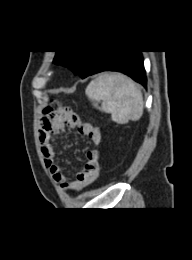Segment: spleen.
Wrapping results in <instances>:
<instances>
[{
  "instance_id": "1",
  "label": "spleen",
  "mask_w": 192,
  "mask_h": 260,
  "mask_svg": "<svg viewBox=\"0 0 192 260\" xmlns=\"http://www.w3.org/2000/svg\"><path fill=\"white\" fill-rule=\"evenodd\" d=\"M86 95L93 107L110 113L117 124L137 121L143 114V95L138 85L119 73H104L91 81ZM101 103V106H99Z\"/></svg>"
}]
</instances>
